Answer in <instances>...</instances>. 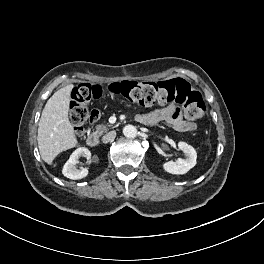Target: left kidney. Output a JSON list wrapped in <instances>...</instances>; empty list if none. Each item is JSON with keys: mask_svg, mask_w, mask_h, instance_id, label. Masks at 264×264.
<instances>
[{"mask_svg": "<svg viewBox=\"0 0 264 264\" xmlns=\"http://www.w3.org/2000/svg\"><path fill=\"white\" fill-rule=\"evenodd\" d=\"M178 147L185 153L186 158H179L175 162L169 161L163 164V169L171 174H185L196 165L197 153L195 149L183 141L178 143Z\"/></svg>", "mask_w": 264, "mask_h": 264, "instance_id": "obj_1", "label": "left kidney"}]
</instances>
